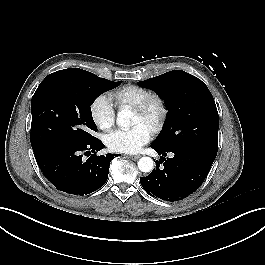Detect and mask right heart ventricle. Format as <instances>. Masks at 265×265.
<instances>
[{"instance_id":"1","label":"right heart ventricle","mask_w":265,"mask_h":265,"mask_svg":"<svg viewBox=\"0 0 265 265\" xmlns=\"http://www.w3.org/2000/svg\"><path fill=\"white\" fill-rule=\"evenodd\" d=\"M152 92L143 86L127 85L113 93V98L120 108H134Z\"/></svg>"}]
</instances>
